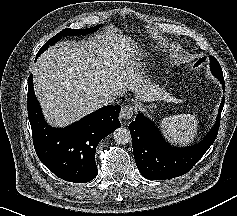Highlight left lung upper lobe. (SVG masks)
Returning <instances> with one entry per match:
<instances>
[{"mask_svg": "<svg viewBox=\"0 0 237 216\" xmlns=\"http://www.w3.org/2000/svg\"><path fill=\"white\" fill-rule=\"evenodd\" d=\"M210 69L212 71V74L222 82H224V79H223V73H222V69L219 65V63L217 62V60L210 56Z\"/></svg>", "mask_w": 237, "mask_h": 216, "instance_id": "5c2ea615", "label": "left lung upper lobe"}]
</instances>
